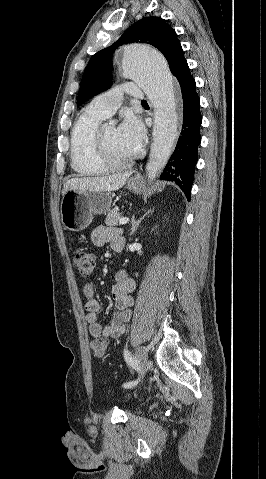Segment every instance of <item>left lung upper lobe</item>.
I'll list each match as a JSON object with an SVG mask.
<instances>
[{
  "label": "left lung upper lobe",
  "instance_id": "5c2ea615",
  "mask_svg": "<svg viewBox=\"0 0 266 479\" xmlns=\"http://www.w3.org/2000/svg\"><path fill=\"white\" fill-rule=\"evenodd\" d=\"M134 42L150 44L161 51L173 75L186 62L174 29L161 17H144L126 30L114 44L91 57L82 77L77 105L110 88L114 51L123 44Z\"/></svg>",
  "mask_w": 266,
  "mask_h": 479
}]
</instances>
